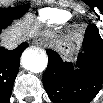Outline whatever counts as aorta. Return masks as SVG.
<instances>
[{"label":"aorta","mask_w":103,"mask_h":103,"mask_svg":"<svg viewBox=\"0 0 103 103\" xmlns=\"http://www.w3.org/2000/svg\"><path fill=\"white\" fill-rule=\"evenodd\" d=\"M47 62L48 58L44 52L27 49L22 54V65L30 72H42L46 68Z\"/></svg>","instance_id":"762f6f07"}]
</instances>
